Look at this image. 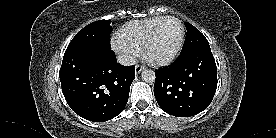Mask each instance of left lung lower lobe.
Listing matches in <instances>:
<instances>
[{
	"label": "left lung lower lobe",
	"instance_id": "obj_1",
	"mask_svg": "<svg viewBox=\"0 0 276 138\" xmlns=\"http://www.w3.org/2000/svg\"><path fill=\"white\" fill-rule=\"evenodd\" d=\"M216 88L215 59L210 46H202L156 71L154 95L164 112L190 117L209 106Z\"/></svg>",
	"mask_w": 276,
	"mask_h": 138
}]
</instances>
